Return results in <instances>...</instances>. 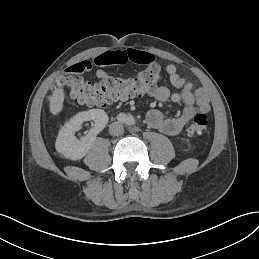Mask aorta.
Listing matches in <instances>:
<instances>
[{
  "label": "aorta",
  "instance_id": "1",
  "mask_svg": "<svg viewBox=\"0 0 259 259\" xmlns=\"http://www.w3.org/2000/svg\"><path fill=\"white\" fill-rule=\"evenodd\" d=\"M124 123L126 125H133L135 123V119L133 116L129 115L125 118Z\"/></svg>",
  "mask_w": 259,
  "mask_h": 259
}]
</instances>
